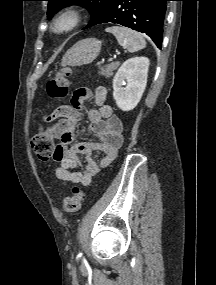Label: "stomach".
Masks as SVG:
<instances>
[{"label": "stomach", "mask_w": 216, "mask_h": 285, "mask_svg": "<svg viewBox=\"0 0 216 285\" xmlns=\"http://www.w3.org/2000/svg\"><path fill=\"white\" fill-rule=\"evenodd\" d=\"M101 42L96 38H86L78 41L67 50L62 58V66H82L90 64L99 55Z\"/></svg>", "instance_id": "obj_1"}]
</instances>
